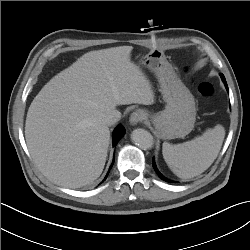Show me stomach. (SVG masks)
<instances>
[{
	"label": "stomach",
	"mask_w": 250,
	"mask_h": 250,
	"mask_svg": "<svg viewBox=\"0 0 250 250\" xmlns=\"http://www.w3.org/2000/svg\"><path fill=\"white\" fill-rule=\"evenodd\" d=\"M140 63L157 76L163 99L164 110L150 114L156 134L162 139L183 138L194 128L196 107L193 95L181 82L160 51H150Z\"/></svg>",
	"instance_id": "1"
}]
</instances>
